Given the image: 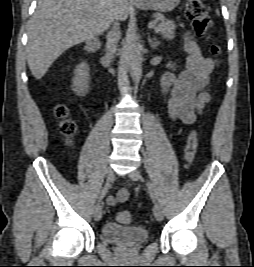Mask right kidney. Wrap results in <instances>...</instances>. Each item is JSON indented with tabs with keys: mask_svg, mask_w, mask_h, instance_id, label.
Listing matches in <instances>:
<instances>
[{
	"mask_svg": "<svg viewBox=\"0 0 254 267\" xmlns=\"http://www.w3.org/2000/svg\"><path fill=\"white\" fill-rule=\"evenodd\" d=\"M89 67L86 63H82L74 70L72 79V90L77 96H85L89 90Z\"/></svg>",
	"mask_w": 254,
	"mask_h": 267,
	"instance_id": "obj_1",
	"label": "right kidney"
}]
</instances>
